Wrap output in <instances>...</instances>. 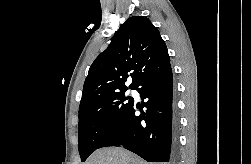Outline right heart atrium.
<instances>
[{"label": "right heart atrium", "instance_id": "1", "mask_svg": "<svg viewBox=\"0 0 251 164\" xmlns=\"http://www.w3.org/2000/svg\"><path fill=\"white\" fill-rule=\"evenodd\" d=\"M107 119L110 121H112L114 119V113L112 111H109L107 113Z\"/></svg>", "mask_w": 251, "mask_h": 164}]
</instances>
